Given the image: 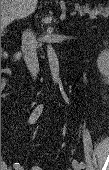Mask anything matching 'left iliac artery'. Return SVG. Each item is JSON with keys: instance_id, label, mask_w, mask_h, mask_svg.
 Instances as JSON below:
<instances>
[{"instance_id": "44dca946", "label": "left iliac artery", "mask_w": 109, "mask_h": 170, "mask_svg": "<svg viewBox=\"0 0 109 170\" xmlns=\"http://www.w3.org/2000/svg\"><path fill=\"white\" fill-rule=\"evenodd\" d=\"M80 165L84 168L85 167V163L84 162H80Z\"/></svg>"}]
</instances>
